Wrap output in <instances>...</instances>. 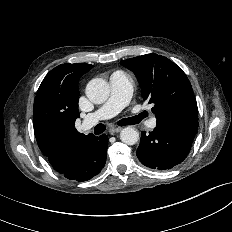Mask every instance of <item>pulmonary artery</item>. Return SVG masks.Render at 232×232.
Wrapping results in <instances>:
<instances>
[{
	"label": "pulmonary artery",
	"mask_w": 232,
	"mask_h": 232,
	"mask_svg": "<svg viewBox=\"0 0 232 232\" xmlns=\"http://www.w3.org/2000/svg\"><path fill=\"white\" fill-rule=\"evenodd\" d=\"M110 97L97 110L88 114L84 121V126L90 128L100 120H106L117 115L130 102L132 96V85L129 76L122 70H117L110 76ZM156 118L152 117L147 122V126L155 128Z\"/></svg>",
	"instance_id": "pulmonary-artery-1"
}]
</instances>
